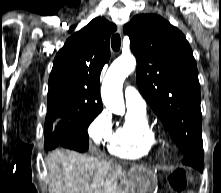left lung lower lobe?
I'll list each match as a JSON object with an SVG mask.
<instances>
[{
  "mask_svg": "<svg viewBox=\"0 0 221 193\" xmlns=\"http://www.w3.org/2000/svg\"><path fill=\"white\" fill-rule=\"evenodd\" d=\"M183 164L191 166L200 172H203L204 168V151L200 149L194 153L184 155Z\"/></svg>",
  "mask_w": 221,
  "mask_h": 193,
  "instance_id": "obj_1",
  "label": "left lung lower lobe"
}]
</instances>
